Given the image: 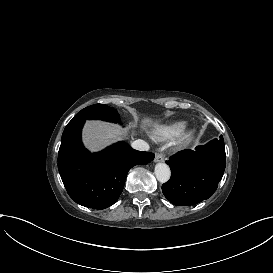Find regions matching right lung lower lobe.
Masks as SVG:
<instances>
[{
	"mask_svg": "<svg viewBox=\"0 0 273 273\" xmlns=\"http://www.w3.org/2000/svg\"><path fill=\"white\" fill-rule=\"evenodd\" d=\"M84 123L82 119L72 120L64 129L58 170L69 196L76 203L105 209L118 200L128 171L135 165L151 162L155 155L134 150L125 142L90 153L81 142Z\"/></svg>",
	"mask_w": 273,
	"mask_h": 273,
	"instance_id": "obj_1",
	"label": "right lung lower lobe"
}]
</instances>
